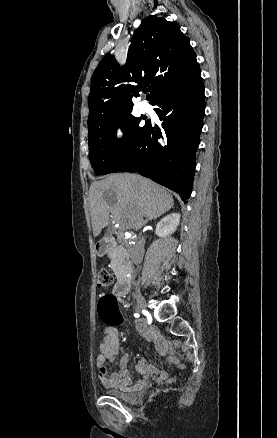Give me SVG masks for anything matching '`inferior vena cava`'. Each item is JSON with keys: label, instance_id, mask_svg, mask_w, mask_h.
Listing matches in <instances>:
<instances>
[{"label": "inferior vena cava", "instance_id": "obj_1", "mask_svg": "<svg viewBox=\"0 0 277 438\" xmlns=\"http://www.w3.org/2000/svg\"><path fill=\"white\" fill-rule=\"evenodd\" d=\"M134 264L137 266V264H140V260H134Z\"/></svg>", "mask_w": 277, "mask_h": 438}]
</instances>
